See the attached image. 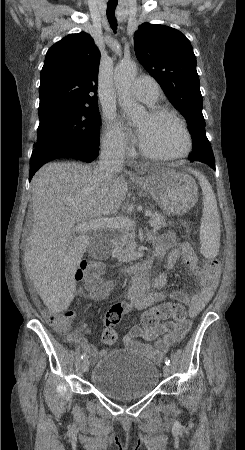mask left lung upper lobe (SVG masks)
Wrapping results in <instances>:
<instances>
[{
    "instance_id": "1",
    "label": "left lung upper lobe",
    "mask_w": 245,
    "mask_h": 450,
    "mask_svg": "<svg viewBox=\"0 0 245 450\" xmlns=\"http://www.w3.org/2000/svg\"><path fill=\"white\" fill-rule=\"evenodd\" d=\"M136 57L160 84L171 103L186 118L192 135L193 151L198 146L209 148L202 114V95L196 71V57L190 41L178 30L143 23L134 35Z\"/></svg>"
}]
</instances>
